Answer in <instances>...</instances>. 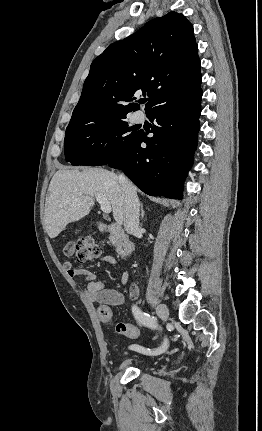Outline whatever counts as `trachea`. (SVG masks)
<instances>
[{
  "label": "trachea",
  "mask_w": 262,
  "mask_h": 431,
  "mask_svg": "<svg viewBox=\"0 0 262 431\" xmlns=\"http://www.w3.org/2000/svg\"><path fill=\"white\" fill-rule=\"evenodd\" d=\"M145 101H146V100H144V99H143V100L141 101V103H145Z\"/></svg>",
  "instance_id": "1"
}]
</instances>
